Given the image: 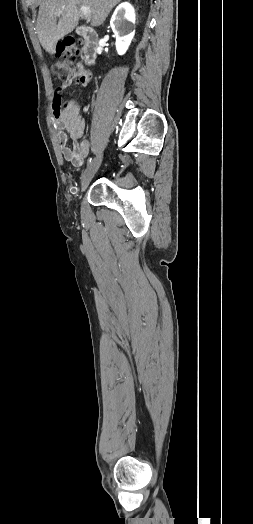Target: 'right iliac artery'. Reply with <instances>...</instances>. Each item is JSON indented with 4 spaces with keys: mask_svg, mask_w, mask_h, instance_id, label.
<instances>
[{
    "mask_svg": "<svg viewBox=\"0 0 253 524\" xmlns=\"http://www.w3.org/2000/svg\"><path fill=\"white\" fill-rule=\"evenodd\" d=\"M92 162V157H89L88 160H87V166H89Z\"/></svg>",
    "mask_w": 253,
    "mask_h": 524,
    "instance_id": "82829eb1",
    "label": "right iliac artery"
}]
</instances>
